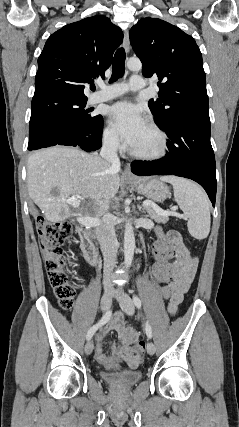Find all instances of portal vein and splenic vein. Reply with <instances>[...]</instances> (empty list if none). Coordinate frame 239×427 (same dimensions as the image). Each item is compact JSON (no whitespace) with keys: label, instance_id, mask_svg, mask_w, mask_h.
Wrapping results in <instances>:
<instances>
[{"label":"portal vein and splenic vein","instance_id":"1","mask_svg":"<svg viewBox=\"0 0 239 427\" xmlns=\"http://www.w3.org/2000/svg\"><path fill=\"white\" fill-rule=\"evenodd\" d=\"M80 198L81 197H71L67 200V202L74 205V204L79 202L78 199H80ZM143 206H145V207L146 206H152L159 214H161L163 216H168V215L174 214L173 212L162 210L157 205H155L152 202L147 201V200L143 202ZM177 209H178L177 207L172 208L173 211H176ZM82 223L85 225H89V226H98V225H100L101 220L99 218H87Z\"/></svg>","mask_w":239,"mask_h":427}]
</instances>
